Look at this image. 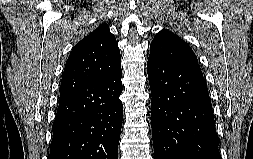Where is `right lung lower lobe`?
Returning a JSON list of instances; mask_svg holds the SVG:
<instances>
[{
  "label": "right lung lower lobe",
  "mask_w": 253,
  "mask_h": 159,
  "mask_svg": "<svg viewBox=\"0 0 253 159\" xmlns=\"http://www.w3.org/2000/svg\"><path fill=\"white\" fill-rule=\"evenodd\" d=\"M121 77L119 69L60 99L49 159H118Z\"/></svg>",
  "instance_id": "obj_1"
}]
</instances>
